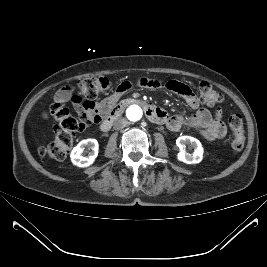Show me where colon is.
I'll return each mask as SVG.
<instances>
[{
    "mask_svg": "<svg viewBox=\"0 0 267 267\" xmlns=\"http://www.w3.org/2000/svg\"><path fill=\"white\" fill-rule=\"evenodd\" d=\"M110 87L111 82L107 77H87L77 82L79 91L77 98L80 101L92 102L101 98ZM196 88L199 93V101L203 105L214 106L223 99L221 93L215 90L208 82H200L196 85ZM44 116L52 120L55 136L52 140L40 146L38 152L43 157H50L56 160H62L69 154L74 145L77 132L92 123L89 118H76L59 103L52 104ZM228 123L234 133L232 147L239 151L245 145L242 117L234 114L230 116Z\"/></svg>",
    "mask_w": 267,
    "mask_h": 267,
    "instance_id": "5ec220e1",
    "label": "colon"
}]
</instances>
